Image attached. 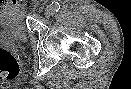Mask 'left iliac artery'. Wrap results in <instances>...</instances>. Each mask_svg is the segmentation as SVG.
Here are the masks:
<instances>
[{"instance_id": "1", "label": "left iliac artery", "mask_w": 131, "mask_h": 89, "mask_svg": "<svg viewBox=\"0 0 131 89\" xmlns=\"http://www.w3.org/2000/svg\"><path fill=\"white\" fill-rule=\"evenodd\" d=\"M52 9L54 12H58L59 9H60V4L55 2V3H52Z\"/></svg>"}]
</instances>
